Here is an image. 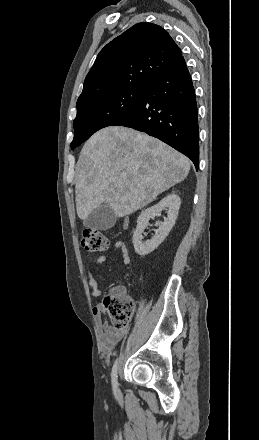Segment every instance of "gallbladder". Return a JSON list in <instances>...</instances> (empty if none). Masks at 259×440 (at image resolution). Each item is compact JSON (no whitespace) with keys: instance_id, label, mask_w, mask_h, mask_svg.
I'll return each mask as SVG.
<instances>
[{"instance_id":"bac80fb5","label":"gallbladder","mask_w":259,"mask_h":440,"mask_svg":"<svg viewBox=\"0 0 259 440\" xmlns=\"http://www.w3.org/2000/svg\"><path fill=\"white\" fill-rule=\"evenodd\" d=\"M117 219L114 211L108 205L103 204L84 219L83 225L89 229L104 231L113 227Z\"/></svg>"}]
</instances>
